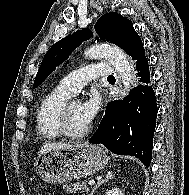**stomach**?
<instances>
[{
  "label": "stomach",
  "instance_id": "stomach-1",
  "mask_svg": "<svg viewBox=\"0 0 189 195\" xmlns=\"http://www.w3.org/2000/svg\"><path fill=\"white\" fill-rule=\"evenodd\" d=\"M108 160L100 146L85 144L42 154L36 161V170L43 181L61 184L95 174L107 165Z\"/></svg>",
  "mask_w": 189,
  "mask_h": 195
}]
</instances>
